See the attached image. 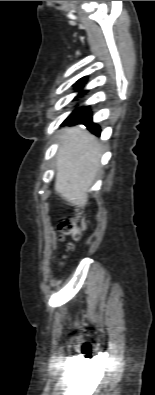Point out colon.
<instances>
[{
	"instance_id": "1",
	"label": "colon",
	"mask_w": 155,
	"mask_h": 395,
	"mask_svg": "<svg viewBox=\"0 0 155 395\" xmlns=\"http://www.w3.org/2000/svg\"><path fill=\"white\" fill-rule=\"evenodd\" d=\"M84 226V221H82L80 225H78L77 221L73 219L62 221L59 226L62 239L65 240L66 238H71L72 241H78L81 237V230ZM67 248L72 249L73 242H68Z\"/></svg>"
}]
</instances>
